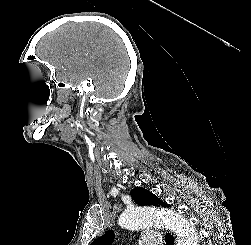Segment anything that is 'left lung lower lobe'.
Masks as SVG:
<instances>
[{"label":"left lung lower lobe","mask_w":251,"mask_h":245,"mask_svg":"<svg viewBox=\"0 0 251 245\" xmlns=\"http://www.w3.org/2000/svg\"><path fill=\"white\" fill-rule=\"evenodd\" d=\"M166 245H174V238L170 234L165 235Z\"/></svg>","instance_id":"left-lung-lower-lobe-1"}]
</instances>
